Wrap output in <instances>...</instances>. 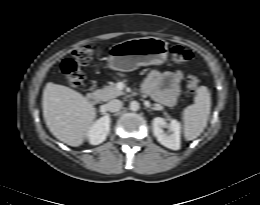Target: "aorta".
Returning a JSON list of instances; mask_svg holds the SVG:
<instances>
[{
    "label": "aorta",
    "instance_id": "762f6f07",
    "mask_svg": "<svg viewBox=\"0 0 260 205\" xmlns=\"http://www.w3.org/2000/svg\"><path fill=\"white\" fill-rule=\"evenodd\" d=\"M140 108V104L137 101H132L130 103V110L132 111H138Z\"/></svg>",
    "mask_w": 260,
    "mask_h": 205
}]
</instances>
